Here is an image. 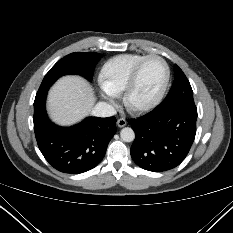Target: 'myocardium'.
<instances>
[{
    "mask_svg": "<svg viewBox=\"0 0 233 233\" xmlns=\"http://www.w3.org/2000/svg\"><path fill=\"white\" fill-rule=\"evenodd\" d=\"M153 58L160 60L164 65V68H165L164 82L159 92L150 101L146 103H136L133 100V94L137 86L140 71L143 65L145 64V62ZM170 77H171L170 68L164 58L156 54H150V55H146L145 57H143L132 70L128 83L125 87V90L123 91L124 92L123 101L127 109L134 113H144V112H148L154 109L156 106L160 104V102L164 98L166 91L168 89V86H169Z\"/></svg>",
    "mask_w": 233,
    "mask_h": 233,
    "instance_id": "f54148a6",
    "label": "myocardium"
}]
</instances>
